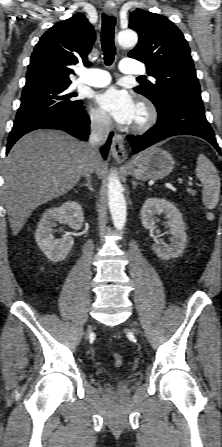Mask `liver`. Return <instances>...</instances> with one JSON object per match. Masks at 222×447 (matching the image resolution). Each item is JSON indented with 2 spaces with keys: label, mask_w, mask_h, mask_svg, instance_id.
I'll return each instance as SVG.
<instances>
[{
  "label": "liver",
  "mask_w": 222,
  "mask_h": 447,
  "mask_svg": "<svg viewBox=\"0 0 222 447\" xmlns=\"http://www.w3.org/2000/svg\"><path fill=\"white\" fill-rule=\"evenodd\" d=\"M94 168L102 175L105 163L88 143L62 131L39 130L22 137L4 165V200L13 235L40 205L70 191Z\"/></svg>",
  "instance_id": "6515ba94"
}]
</instances>
